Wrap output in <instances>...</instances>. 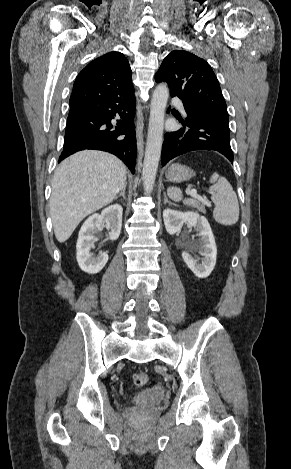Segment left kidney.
<instances>
[{
    "mask_svg": "<svg viewBox=\"0 0 291 469\" xmlns=\"http://www.w3.org/2000/svg\"><path fill=\"white\" fill-rule=\"evenodd\" d=\"M163 219L167 232L171 235L181 230L183 224L188 222L199 232V239L194 241L188 251L198 250L203 256L199 263L189 252H183L182 258L191 271L199 278H207L216 264L217 248L211 227L207 219L196 212H181L178 210L165 209Z\"/></svg>",
    "mask_w": 291,
    "mask_h": 469,
    "instance_id": "1",
    "label": "left kidney"
}]
</instances>
